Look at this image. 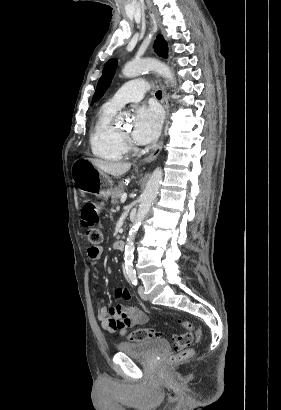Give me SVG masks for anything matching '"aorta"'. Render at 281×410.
I'll use <instances>...</instances> for the list:
<instances>
[{
  "label": "aorta",
  "instance_id": "762f6f07",
  "mask_svg": "<svg viewBox=\"0 0 281 410\" xmlns=\"http://www.w3.org/2000/svg\"><path fill=\"white\" fill-rule=\"evenodd\" d=\"M144 71H155L165 79H167L171 84H175V79L172 71L170 68L165 65L164 63L155 60V59H142L138 61H132L127 63L122 73L127 78H133L138 76L140 73ZM123 120V115L120 117ZM163 172L161 168H156L147 185L146 188L141 196L140 205L136 214L135 221L129 231L128 238L126 240L125 251H124V262H125V269L127 273H133V252H134V239L137 234V231L146 217L149 209L154 202L160 184L162 182Z\"/></svg>",
  "mask_w": 281,
  "mask_h": 410
}]
</instances>
